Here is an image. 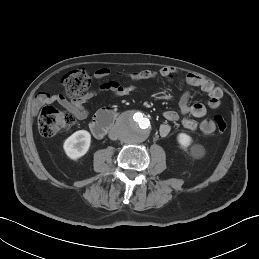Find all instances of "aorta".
Returning a JSON list of instances; mask_svg holds the SVG:
<instances>
[{"label": "aorta", "instance_id": "aorta-1", "mask_svg": "<svg viewBox=\"0 0 259 259\" xmlns=\"http://www.w3.org/2000/svg\"><path fill=\"white\" fill-rule=\"evenodd\" d=\"M150 121L140 112H131L122 116L117 130L122 141L137 144L145 141L150 134Z\"/></svg>", "mask_w": 259, "mask_h": 259}]
</instances>
